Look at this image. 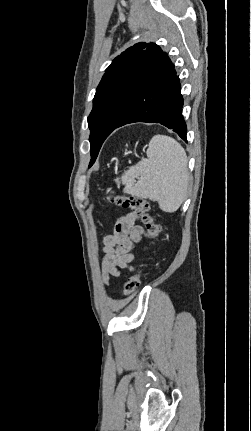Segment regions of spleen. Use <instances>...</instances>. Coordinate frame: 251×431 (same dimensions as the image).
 Instances as JSON below:
<instances>
[{"mask_svg": "<svg viewBox=\"0 0 251 431\" xmlns=\"http://www.w3.org/2000/svg\"><path fill=\"white\" fill-rule=\"evenodd\" d=\"M147 157L127 170L121 178L123 192L157 201L165 212H175L183 203L189 183L188 159L175 139L155 135L149 143ZM137 179V182H135Z\"/></svg>", "mask_w": 251, "mask_h": 431, "instance_id": "3e777b00", "label": "spleen"}]
</instances>
